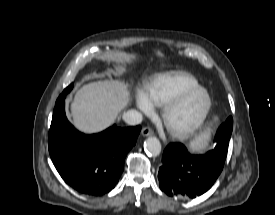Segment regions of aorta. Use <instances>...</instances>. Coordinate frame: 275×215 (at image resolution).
I'll return each instance as SVG.
<instances>
[{
  "instance_id": "1",
  "label": "aorta",
  "mask_w": 275,
  "mask_h": 215,
  "mask_svg": "<svg viewBox=\"0 0 275 215\" xmlns=\"http://www.w3.org/2000/svg\"><path fill=\"white\" fill-rule=\"evenodd\" d=\"M145 152L152 157H156L161 153V143L156 137H149L144 144Z\"/></svg>"
}]
</instances>
